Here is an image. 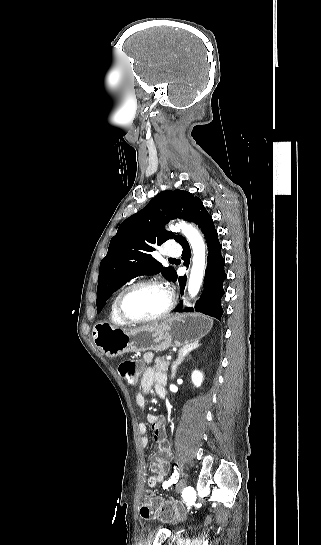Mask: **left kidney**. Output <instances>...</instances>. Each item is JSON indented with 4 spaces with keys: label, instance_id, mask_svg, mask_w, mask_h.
Masks as SVG:
<instances>
[{
    "label": "left kidney",
    "instance_id": "5707ae66",
    "mask_svg": "<svg viewBox=\"0 0 321 545\" xmlns=\"http://www.w3.org/2000/svg\"><path fill=\"white\" fill-rule=\"evenodd\" d=\"M192 383L195 385V387H201L203 381H204V375L203 373H200V371H193L191 375Z\"/></svg>",
    "mask_w": 321,
    "mask_h": 545
}]
</instances>
